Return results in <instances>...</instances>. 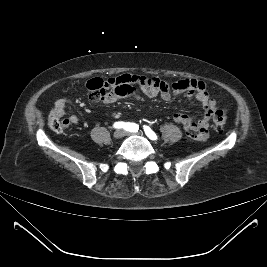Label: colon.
Listing matches in <instances>:
<instances>
[{
	"label": "colon",
	"instance_id": "colon-1",
	"mask_svg": "<svg viewBox=\"0 0 267 267\" xmlns=\"http://www.w3.org/2000/svg\"><path fill=\"white\" fill-rule=\"evenodd\" d=\"M167 86V82L155 77L140 76L137 79L127 81L125 89L131 91L137 88H142L147 92H156ZM171 86H176L172 84ZM226 122V113L222 109L215 108L213 111V123L218 130H221ZM49 127L56 132L64 129L63 122L53 113L49 117Z\"/></svg>",
	"mask_w": 267,
	"mask_h": 267
}]
</instances>
